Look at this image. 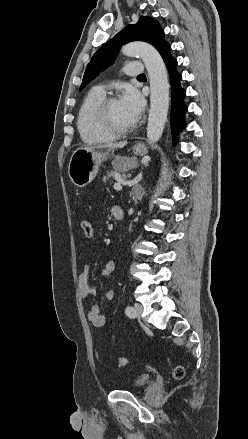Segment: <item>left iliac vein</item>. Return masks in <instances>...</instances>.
<instances>
[{
	"label": "left iliac vein",
	"mask_w": 248,
	"mask_h": 439,
	"mask_svg": "<svg viewBox=\"0 0 248 439\" xmlns=\"http://www.w3.org/2000/svg\"><path fill=\"white\" fill-rule=\"evenodd\" d=\"M133 310H134V312H133L132 317L140 318L141 314H142V311H143V307L140 304H135L133 306Z\"/></svg>",
	"instance_id": "4c4485c4"
}]
</instances>
